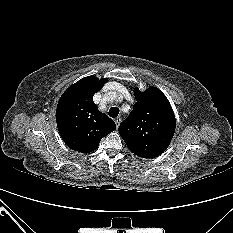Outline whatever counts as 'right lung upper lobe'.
Listing matches in <instances>:
<instances>
[{
	"label": "right lung upper lobe",
	"instance_id": "right-lung-upper-lobe-1",
	"mask_svg": "<svg viewBox=\"0 0 233 233\" xmlns=\"http://www.w3.org/2000/svg\"><path fill=\"white\" fill-rule=\"evenodd\" d=\"M107 78L88 76L71 85L61 96L56 121L63 141L72 150L94 151L101 139L115 130L116 125L106 114L99 112L93 96Z\"/></svg>",
	"mask_w": 233,
	"mask_h": 233
}]
</instances>
